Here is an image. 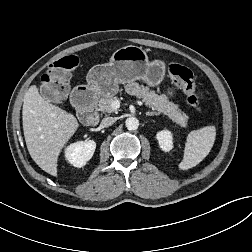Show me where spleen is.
<instances>
[{
	"label": "spleen",
	"instance_id": "spleen-1",
	"mask_svg": "<svg viewBox=\"0 0 252 252\" xmlns=\"http://www.w3.org/2000/svg\"><path fill=\"white\" fill-rule=\"evenodd\" d=\"M216 137L215 126L191 131L186 139L180 170H188L199 164L210 152Z\"/></svg>",
	"mask_w": 252,
	"mask_h": 252
}]
</instances>
